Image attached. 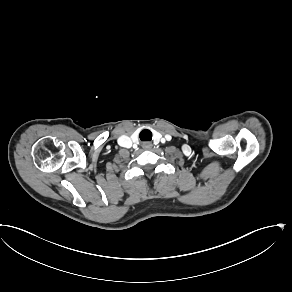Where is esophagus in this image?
I'll return each mask as SVG.
<instances>
[{
	"label": "esophagus",
	"instance_id": "obj_1",
	"mask_svg": "<svg viewBox=\"0 0 292 292\" xmlns=\"http://www.w3.org/2000/svg\"><path fill=\"white\" fill-rule=\"evenodd\" d=\"M141 145L145 150H150L153 147V144L150 141H144Z\"/></svg>",
	"mask_w": 292,
	"mask_h": 292
}]
</instances>
